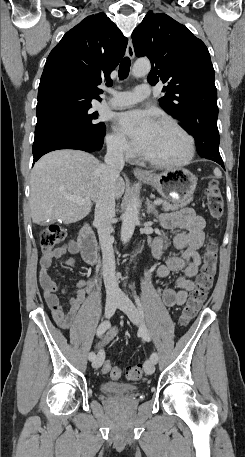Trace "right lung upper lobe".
<instances>
[{
  "instance_id": "obj_1",
  "label": "right lung upper lobe",
  "mask_w": 245,
  "mask_h": 457,
  "mask_svg": "<svg viewBox=\"0 0 245 457\" xmlns=\"http://www.w3.org/2000/svg\"><path fill=\"white\" fill-rule=\"evenodd\" d=\"M128 39L106 16L97 13L68 31L49 54L42 73L37 112L47 111L63 101H100L102 80L125 54Z\"/></svg>"
}]
</instances>
